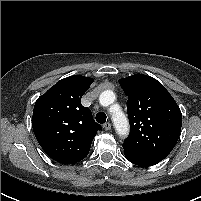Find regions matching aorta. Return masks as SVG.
I'll return each mask as SVG.
<instances>
[{
	"label": "aorta",
	"instance_id": "aorta-1",
	"mask_svg": "<svg viewBox=\"0 0 201 201\" xmlns=\"http://www.w3.org/2000/svg\"><path fill=\"white\" fill-rule=\"evenodd\" d=\"M99 99L101 104L109 105L115 101V94L111 90H106L101 93ZM112 121L118 134L124 135L127 132L128 121L126 116L121 111H118L112 115Z\"/></svg>",
	"mask_w": 201,
	"mask_h": 201
}]
</instances>
